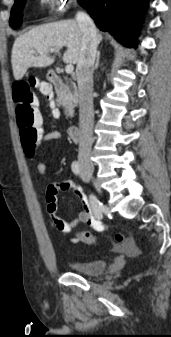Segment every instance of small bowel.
I'll return each instance as SVG.
<instances>
[{"label": "small bowel", "instance_id": "c3829d8e", "mask_svg": "<svg viewBox=\"0 0 171 337\" xmlns=\"http://www.w3.org/2000/svg\"><path fill=\"white\" fill-rule=\"evenodd\" d=\"M55 113V112H54ZM62 134L59 131H52L43 135L41 144H46L49 141L60 140ZM37 171L41 176H44L47 172V165L44 161L37 163ZM71 191L76 197L79 198L83 205V209L77 213L72 220H65L57 215V196L61 192ZM47 213L54 227L62 233H70L75 227L80 224H87L95 231L100 232L103 230L102 222L97 218L95 212L89 202L88 196L83 189L76 185L72 180H64L61 182L51 183L47 186L46 195ZM82 239L76 235L70 238L72 244H78Z\"/></svg>", "mask_w": 171, "mask_h": 337}]
</instances>
